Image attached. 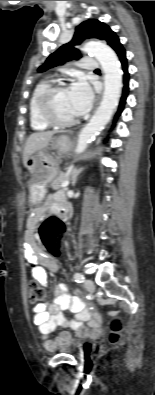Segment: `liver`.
I'll list each match as a JSON object with an SVG mask.
<instances>
[{"label":"liver","mask_w":155,"mask_h":395,"mask_svg":"<svg viewBox=\"0 0 155 395\" xmlns=\"http://www.w3.org/2000/svg\"><path fill=\"white\" fill-rule=\"evenodd\" d=\"M55 133L56 132L54 131L36 132L29 136L23 153L24 166L26 165L29 157H31L37 151L43 150L49 145V142L52 140V137Z\"/></svg>","instance_id":"obj_1"}]
</instances>
